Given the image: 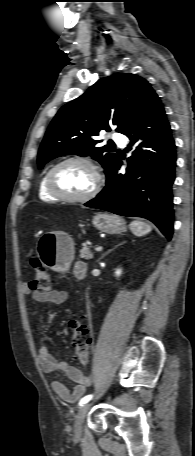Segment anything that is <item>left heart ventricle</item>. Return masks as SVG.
<instances>
[{"instance_id":"obj_1","label":"left heart ventricle","mask_w":195,"mask_h":456,"mask_svg":"<svg viewBox=\"0 0 195 456\" xmlns=\"http://www.w3.org/2000/svg\"><path fill=\"white\" fill-rule=\"evenodd\" d=\"M94 184L92 170L81 163H68L55 174L56 187L66 195L82 196L88 193Z\"/></svg>"}]
</instances>
